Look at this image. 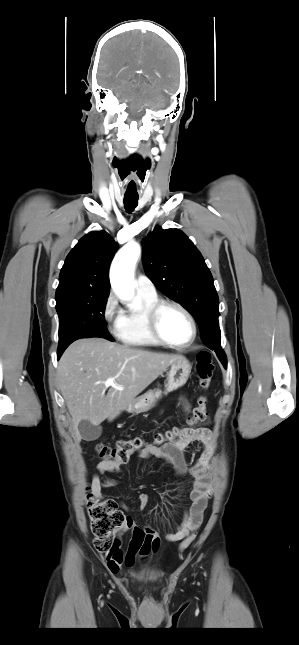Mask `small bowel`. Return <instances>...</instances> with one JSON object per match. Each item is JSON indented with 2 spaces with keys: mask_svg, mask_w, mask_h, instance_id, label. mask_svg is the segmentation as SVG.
I'll use <instances>...</instances> for the list:
<instances>
[{
  "mask_svg": "<svg viewBox=\"0 0 299 645\" xmlns=\"http://www.w3.org/2000/svg\"><path fill=\"white\" fill-rule=\"evenodd\" d=\"M182 408L188 417L191 406L185 399L182 401ZM193 442L201 443L203 450L194 461H190L186 457V451ZM214 447L215 438L211 429L205 425H193L186 427L183 436L178 440L162 447L147 445L136 454V458L139 459L155 457L165 461L177 476L189 473L193 477L189 508L185 511L183 520L177 529L163 536L168 542L184 539L192 530L197 529L202 521L207 500L211 495L208 472L211 468ZM97 470L98 473L92 479L91 489L95 496L102 498L103 489L116 486L118 481L101 475L119 473L120 465L101 462L98 464ZM136 503L141 511L145 510L149 504L148 494H138ZM124 528L131 529L133 533L128 550L123 553L120 542L117 541L113 550L106 555V563L109 568L119 567L122 564L131 566L137 557H146L156 552L160 546L162 537L154 527L150 525L138 527L132 518L127 517Z\"/></svg>",
  "mask_w": 299,
  "mask_h": 645,
  "instance_id": "small-bowel-1",
  "label": "small bowel"
}]
</instances>
